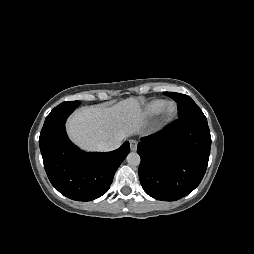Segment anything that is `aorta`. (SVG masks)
<instances>
[{"label":"aorta","mask_w":254,"mask_h":254,"mask_svg":"<svg viewBox=\"0 0 254 254\" xmlns=\"http://www.w3.org/2000/svg\"><path fill=\"white\" fill-rule=\"evenodd\" d=\"M126 160L131 166H138L140 164V155L136 152H131L127 155Z\"/></svg>","instance_id":"aorta-1"}]
</instances>
